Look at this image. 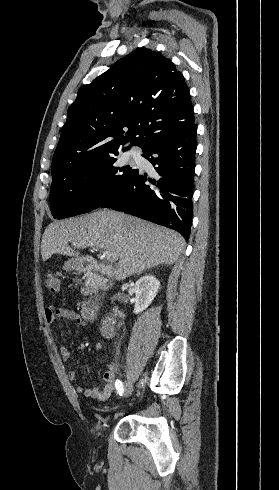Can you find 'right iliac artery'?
Segmentation results:
<instances>
[{"instance_id":"1","label":"right iliac artery","mask_w":279,"mask_h":490,"mask_svg":"<svg viewBox=\"0 0 279 490\" xmlns=\"http://www.w3.org/2000/svg\"><path fill=\"white\" fill-rule=\"evenodd\" d=\"M116 390L117 393H119L120 396H122L124 389H123V383L117 378L115 382Z\"/></svg>"}]
</instances>
